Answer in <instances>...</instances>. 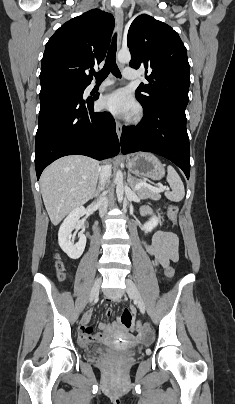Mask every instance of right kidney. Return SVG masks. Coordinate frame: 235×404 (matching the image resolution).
<instances>
[{"mask_svg": "<svg viewBox=\"0 0 235 404\" xmlns=\"http://www.w3.org/2000/svg\"><path fill=\"white\" fill-rule=\"evenodd\" d=\"M81 216V208H76L70 212V214L63 221L58 232V242L61 249L71 258L78 259L85 249L86 236L84 234L85 229L79 233V241L74 244L72 240V231L75 228H82L79 223Z\"/></svg>", "mask_w": 235, "mask_h": 404, "instance_id": "obj_1", "label": "right kidney"}]
</instances>
